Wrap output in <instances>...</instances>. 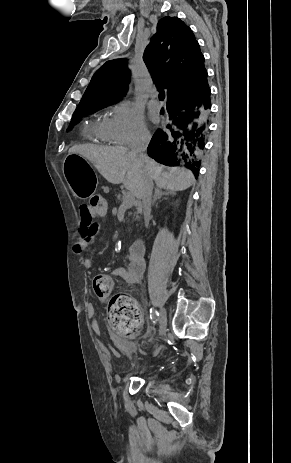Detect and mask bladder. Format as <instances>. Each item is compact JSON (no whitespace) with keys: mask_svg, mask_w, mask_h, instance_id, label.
<instances>
[{"mask_svg":"<svg viewBox=\"0 0 291 463\" xmlns=\"http://www.w3.org/2000/svg\"><path fill=\"white\" fill-rule=\"evenodd\" d=\"M117 348L123 357H132L136 353V346L131 339H117Z\"/></svg>","mask_w":291,"mask_h":463,"instance_id":"obj_1","label":"bladder"}]
</instances>
